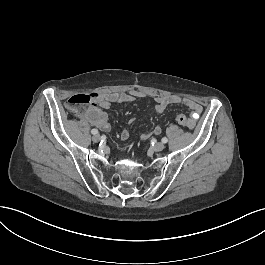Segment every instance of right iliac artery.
<instances>
[{"instance_id": "obj_1", "label": "right iliac artery", "mask_w": 265, "mask_h": 265, "mask_svg": "<svg viewBox=\"0 0 265 265\" xmlns=\"http://www.w3.org/2000/svg\"><path fill=\"white\" fill-rule=\"evenodd\" d=\"M91 133L95 135V134L98 133V130H97V129H92V130H91Z\"/></svg>"}]
</instances>
